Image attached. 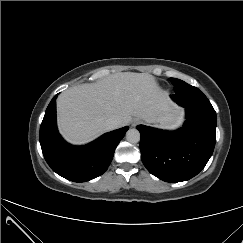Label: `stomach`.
I'll list each match as a JSON object with an SVG mask.
<instances>
[{
  "label": "stomach",
  "instance_id": "1",
  "mask_svg": "<svg viewBox=\"0 0 243 243\" xmlns=\"http://www.w3.org/2000/svg\"><path fill=\"white\" fill-rule=\"evenodd\" d=\"M182 121V113L179 110L166 111L157 117L156 125L162 128H174Z\"/></svg>",
  "mask_w": 243,
  "mask_h": 243
}]
</instances>
